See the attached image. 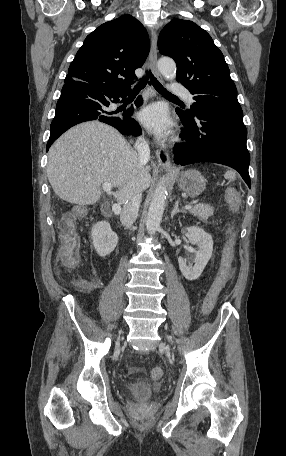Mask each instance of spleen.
Instances as JSON below:
<instances>
[{"label":"spleen","instance_id":"obj_1","mask_svg":"<svg viewBox=\"0 0 286 456\" xmlns=\"http://www.w3.org/2000/svg\"><path fill=\"white\" fill-rule=\"evenodd\" d=\"M225 178L230 181H233L236 178V173L233 170H228L225 173Z\"/></svg>","mask_w":286,"mask_h":456}]
</instances>
